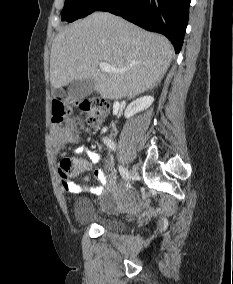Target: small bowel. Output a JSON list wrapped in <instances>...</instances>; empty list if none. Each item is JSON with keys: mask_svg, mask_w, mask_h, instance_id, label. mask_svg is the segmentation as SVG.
I'll return each mask as SVG.
<instances>
[{"mask_svg": "<svg viewBox=\"0 0 233 284\" xmlns=\"http://www.w3.org/2000/svg\"><path fill=\"white\" fill-rule=\"evenodd\" d=\"M69 135V132L65 129H58L57 130V139L60 142H64L67 140ZM85 152L89 158V160L84 159H73V162L76 166L77 171L79 172H86V171H93L95 177L97 178L99 184L96 186L89 187L85 184H74L71 182H67L62 180V186L65 189V191L70 193H80L84 191H91L94 194H102V193H111L115 191L116 189V182L114 174L111 173L109 175H106L102 170L98 168H94L95 165H97L100 162V156L99 154L85 146H81L77 149L76 153H82ZM87 178H85L86 180ZM125 202L120 200L116 196H109L106 195L102 201V208L106 211H113L118 208H122L124 206Z\"/></svg>", "mask_w": 233, "mask_h": 284, "instance_id": "obj_1", "label": "small bowel"}]
</instances>
